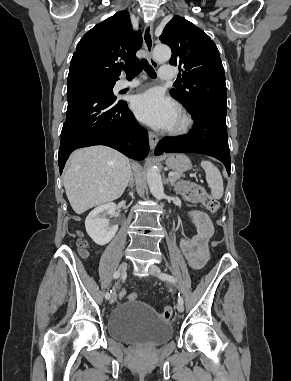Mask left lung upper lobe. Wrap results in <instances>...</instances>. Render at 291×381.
<instances>
[{
    "label": "left lung upper lobe",
    "instance_id": "1",
    "mask_svg": "<svg viewBox=\"0 0 291 381\" xmlns=\"http://www.w3.org/2000/svg\"><path fill=\"white\" fill-rule=\"evenodd\" d=\"M160 40L172 50L169 63L182 71L184 87L172 89L171 96L188 111L200 106L226 108L224 68L210 37L185 18L174 16Z\"/></svg>",
    "mask_w": 291,
    "mask_h": 381
}]
</instances>
